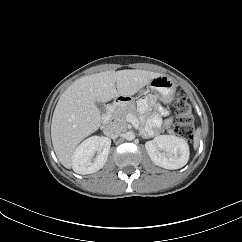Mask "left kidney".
<instances>
[{"label":"left kidney","mask_w":242,"mask_h":242,"mask_svg":"<svg viewBox=\"0 0 242 242\" xmlns=\"http://www.w3.org/2000/svg\"><path fill=\"white\" fill-rule=\"evenodd\" d=\"M145 148L154 164L170 170L186 165L190 154L188 143L173 135L157 136L147 141Z\"/></svg>","instance_id":"left-kidney-1"}]
</instances>
